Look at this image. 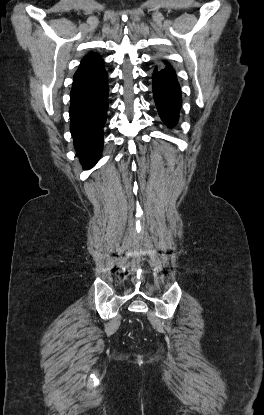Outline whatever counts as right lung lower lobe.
<instances>
[{
  "instance_id": "right-lung-lower-lobe-1",
  "label": "right lung lower lobe",
  "mask_w": 264,
  "mask_h": 415,
  "mask_svg": "<svg viewBox=\"0 0 264 415\" xmlns=\"http://www.w3.org/2000/svg\"><path fill=\"white\" fill-rule=\"evenodd\" d=\"M108 74L74 79L70 93V131L85 169L95 165L102 154L103 127L108 109Z\"/></svg>"
}]
</instances>
